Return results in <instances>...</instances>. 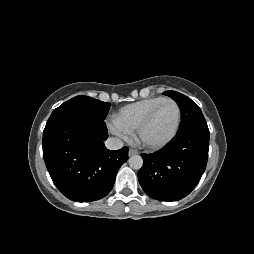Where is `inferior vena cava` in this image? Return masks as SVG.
Instances as JSON below:
<instances>
[{
    "instance_id": "1",
    "label": "inferior vena cava",
    "mask_w": 254,
    "mask_h": 254,
    "mask_svg": "<svg viewBox=\"0 0 254 254\" xmlns=\"http://www.w3.org/2000/svg\"><path fill=\"white\" fill-rule=\"evenodd\" d=\"M105 146L109 150H118L123 147V142L118 138L110 137L105 141Z\"/></svg>"
}]
</instances>
